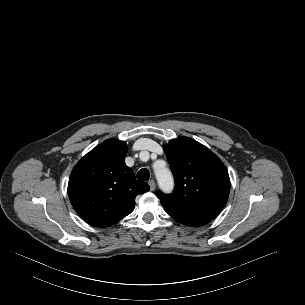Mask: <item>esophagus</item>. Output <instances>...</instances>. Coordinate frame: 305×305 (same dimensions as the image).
<instances>
[{
    "label": "esophagus",
    "instance_id": "34e87169",
    "mask_svg": "<svg viewBox=\"0 0 305 305\" xmlns=\"http://www.w3.org/2000/svg\"><path fill=\"white\" fill-rule=\"evenodd\" d=\"M149 186H150V190L151 191H154L155 190V187H156V184H155V181L154 180H150L148 182Z\"/></svg>",
    "mask_w": 305,
    "mask_h": 305
}]
</instances>
